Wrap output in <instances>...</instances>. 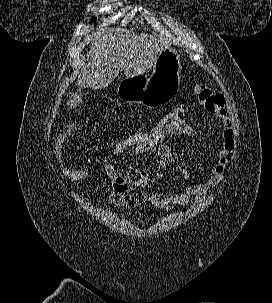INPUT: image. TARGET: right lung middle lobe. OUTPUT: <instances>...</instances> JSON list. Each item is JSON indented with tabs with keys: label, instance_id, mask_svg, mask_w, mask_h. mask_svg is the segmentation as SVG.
<instances>
[{
	"label": "right lung middle lobe",
	"instance_id": "dd1d6c3e",
	"mask_svg": "<svg viewBox=\"0 0 272 303\" xmlns=\"http://www.w3.org/2000/svg\"><path fill=\"white\" fill-rule=\"evenodd\" d=\"M92 20L95 21V17H93Z\"/></svg>",
	"mask_w": 272,
	"mask_h": 303
}]
</instances>
